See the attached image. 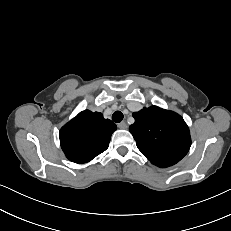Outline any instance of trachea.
Wrapping results in <instances>:
<instances>
[{
	"label": "trachea",
	"mask_w": 231,
	"mask_h": 231,
	"mask_svg": "<svg viewBox=\"0 0 231 231\" xmlns=\"http://www.w3.org/2000/svg\"><path fill=\"white\" fill-rule=\"evenodd\" d=\"M123 113L121 111H115L112 115V120L116 123H120L123 120Z\"/></svg>",
	"instance_id": "trachea-1"
}]
</instances>
